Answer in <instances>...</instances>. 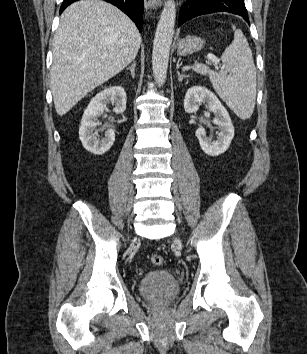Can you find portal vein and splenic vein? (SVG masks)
I'll return each mask as SVG.
<instances>
[{
    "mask_svg": "<svg viewBox=\"0 0 307 354\" xmlns=\"http://www.w3.org/2000/svg\"><path fill=\"white\" fill-rule=\"evenodd\" d=\"M207 58H208L209 61L213 62L215 65H217V64L219 63V59L216 58V57L213 56V55H208Z\"/></svg>",
    "mask_w": 307,
    "mask_h": 354,
    "instance_id": "18ae733b",
    "label": "portal vein and splenic vein"
}]
</instances>
